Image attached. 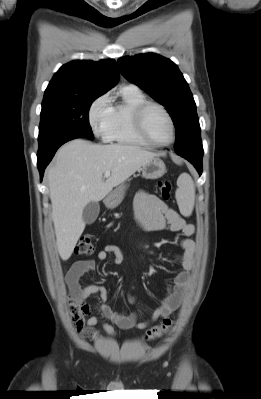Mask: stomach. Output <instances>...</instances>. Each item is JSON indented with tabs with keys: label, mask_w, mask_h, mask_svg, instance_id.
I'll list each match as a JSON object with an SVG mask.
<instances>
[{
	"label": "stomach",
	"mask_w": 261,
	"mask_h": 399,
	"mask_svg": "<svg viewBox=\"0 0 261 399\" xmlns=\"http://www.w3.org/2000/svg\"><path fill=\"white\" fill-rule=\"evenodd\" d=\"M142 176L146 179H158L166 173V166L159 157L148 160L141 168ZM126 184H121L112 190L104 199V204L109 209H114L121 204L124 199Z\"/></svg>",
	"instance_id": "1"
}]
</instances>
